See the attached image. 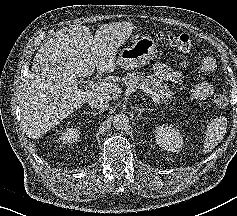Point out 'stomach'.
Instances as JSON below:
<instances>
[{
	"mask_svg": "<svg viewBox=\"0 0 237 216\" xmlns=\"http://www.w3.org/2000/svg\"><path fill=\"white\" fill-rule=\"evenodd\" d=\"M157 53V46L149 37L143 36L135 40L133 45L124 48L117 59L119 66L126 70H133L141 65L150 63Z\"/></svg>",
	"mask_w": 237,
	"mask_h": 216,
	"instance_id": "0dacf381",
	"label": "stomach"
}]
</instances>
